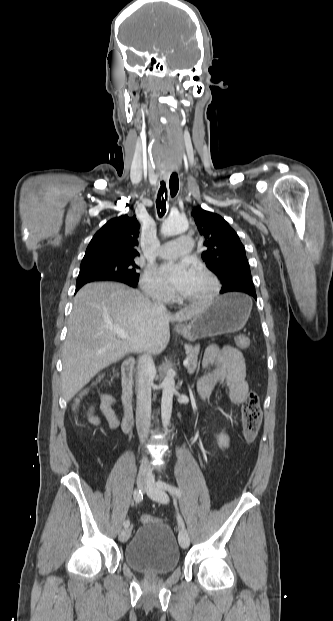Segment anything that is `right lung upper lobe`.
I'll return each instance as SVG.
<instances>
[{"label":"right lung upper lobe","instance_id":"1","mask_svg":"<svg viewBox=\"0 0 333 621\" xmlns=\"http://www.w3.org/2000/svg\"><path fill=\"white\" fill-rule=\"evenodd\" d=\"M140 225L135 216L109 220L90 241L83 259L135 257Z\"/></svg>","mask_w":333,"mask_h":621}]
</instances>
